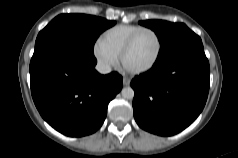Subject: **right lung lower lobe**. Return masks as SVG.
<instances>
[{"instance_id":"1","label":"right lung lower lobe","mask_w":238,"mask_h":158,"mask_svg":"<svg viewBox=\"0 0 238 158\" xmlns=\"http://www.w3.org/2000/svg\"><path fill=\"white\" fill-rule=\"evenodd\" d=\"M94 54H87L60 39L35 48L30 62L31 93L43 117L54 129L70 137L97 131L109 102L122 89L117 72L99 74Z\"/></svg>"}]
</instances>
